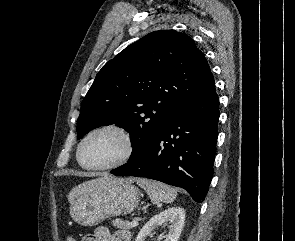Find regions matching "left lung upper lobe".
I'll return each mask as SVG.
<instances>
[{
	"mask_svg": "<svg viewBox=\"0 0 295 241\" xmlns=\"http://www.w3.org/2000/svg\"><path fill=\"white\" fill-rule=\"evenodd\" d=\"M214 78L193 39L154 31L127 46L97 74L81 103L77 138L116 124L130 133V160L178 110L207 94Z\"/></svg>",
	"mask_w": 295,
	"mask_h": 241,
	"instance_id": "5c2ea615",
	"label": "left lung upper lobe"
}]
</instances>
